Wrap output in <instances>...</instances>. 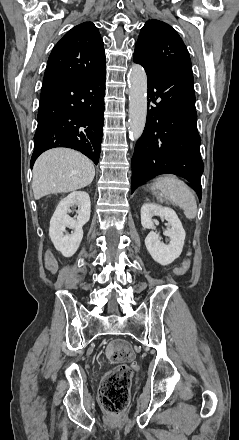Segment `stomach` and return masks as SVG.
<instances>
[{"label":"stomach","mask_w":239,"mask_h":440,"mask_svg":"<svg viewBox=\"0 0 239 440\" xmlns=\"http://www.w3.org/2000/svg\"><path fill=\"white\" fill-rule=\"evenodd\" d=\"M150 190H152V192H155V194H159V190H156L154 186H151Z\"/></svg>","instance_id":"0dacf381"}]
</instances>
